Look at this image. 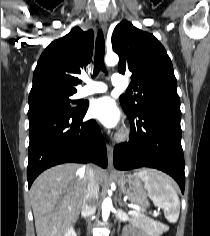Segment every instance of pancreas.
<instances>
[{"label": "pancreas", "mask_w": 210, "mask_h": 236, "mask_svg": "<svg viewBox=\"0 0 210 236\" xmlns=\"http://www.w3.org/2000/svg\"><path fill=\"white\" fill-rule=\"evenodd\" d=\"M130 223L147 231L150 236H158L160 229L156 221L149 218L142 212L132 215Z\"/></svg>", "instance_id": "cf45deb5"}]
</instances>
